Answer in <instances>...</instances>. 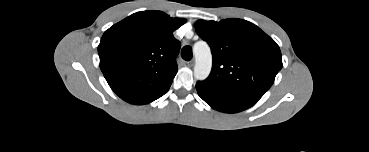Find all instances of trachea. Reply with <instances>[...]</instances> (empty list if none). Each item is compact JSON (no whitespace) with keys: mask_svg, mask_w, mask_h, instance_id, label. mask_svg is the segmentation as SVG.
Listing matches in <instances>:
<instances>
[{"mask_svg":"<svg viewBox=\"0 0 369 152\" xmlns=\"http://www.w3.org/2000/svg\"><path fill=\"white\" fill-rule=\"evenodd\" d=\"M181 56L184 60L190 61L192 59V48L190 46H185L181 50Z\"/></svg>","mask_w":369,"mask_h":152,"instance_id":"3493384b","label":"trachea"}]
</instances>
